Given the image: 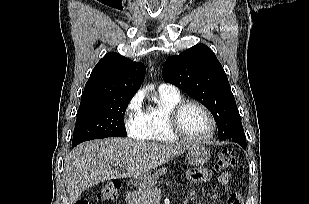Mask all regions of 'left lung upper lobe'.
Masks as SVG:
<instances>
[{
	"instance_id": "left-lung-upper-lobe-1",
	"label": "left lung upper lobe",
	"mask_w": 309,
	"mask_h": 204,
	"mask_svg": "<svg viewBox=\"0 0 309 204\" xmlns=\"http://www.w3.org/2000/svg\"><path fill=\"white\" fill-rule=\"evenodd\" d=\"M162 77L202 103L215 118L220 139L243 134L226 73L213 51L197 44L164 63Z\"/></svg>"
}]
</instances>
